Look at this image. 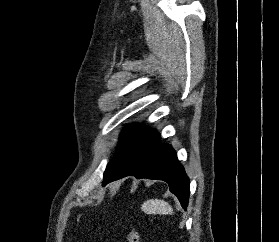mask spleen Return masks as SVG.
<instances>
[{"label": "spleen", "instance_id": "obj_1", "mask_svg": "<svg viewBox=\"0 0 279 242\" xmlns=\"http://www.w3.org/2000/svg\"><path fill=\"white\" fill-rule=\"evenodd\" d=\"M141 208L147 214L172 215L174 213L172 206L161 199H150L144 202Z\"/></svg>", "mask_w": 279, "mask_h": 242}]
</instances>
